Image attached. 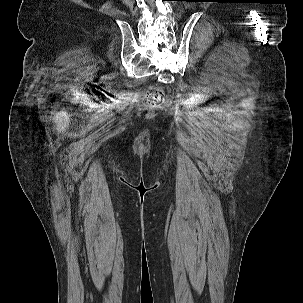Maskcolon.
<instances>
[{
    "label": "colon",
    "instance_id": "1",
    "mask_svg": "<svg viewBox=\"0 0 303 303\" xmlns=\"http://www.w3.org/2000/svg\"><path fill=\"white\" fill-rule=\"evenodd\" d=\"M145 97L148 104L152 107L159 106L165 101L164 92L158 87H152L148 89L145 93Z\"/></svg>",
    "mask_w": 303,
    "mask_h": 303
}]
</instances>
